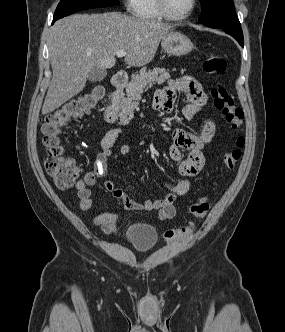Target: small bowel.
I'll list each match as a JSON object with an SVG mask.
<instances>
[{"label": "small bowel", "mask_w": 285, "mask_h": 332, "mask_svg": "<svg viewBox=\"0 0 285 332\" xmlns=\"http://www.w3.org/2000/svg\"><path fill=\"white\" fill-rule=\"evenodd\" d=\"M184 92L188 99V104L182 111L186 119L193 116L207 102V95L202 85L191 76H183L178 80L171 81L163 90L159 91L153 101L156 110L170 112L173 108L176 93ZM216 126L213 121H205L199 133L187 132L182 129H174L173 143L169 147V157L179 162V173L181 178L176 183L165 182L168 193L156 200L136 201L129 198L125 192L115 186L112 180L106 179L105 189L113 197L120 200L124 207L133 211H157L160 220H171L175 217V200L178 196L186 195L191 188V178L197 175L204 166L205 157L203 148L215 135ZM122 127H115L108 130L100 143V151L97 154L93 170L87 172L82 179L78 180L75 188L79 198V207L82 211H88L92 207V188L97 179L105 177L108 172V163L115 161L130 152L128 145H122L115 150L114 145L118 137L122 134ZM188 152L183 157V152ZM104 215L96 218L97 223L104 220Z\"/></svg>", "instance_id": "obj_1"}]
</instances>
